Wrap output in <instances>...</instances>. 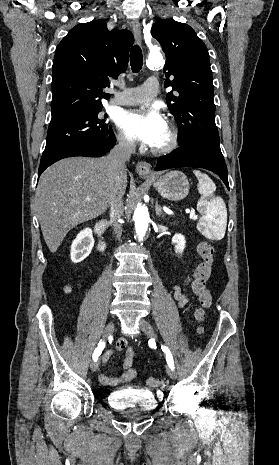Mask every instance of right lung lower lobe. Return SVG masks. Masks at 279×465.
<instances>
[{
  "label": "right lung lower lobe",
  "instance_id": "98d812e1",
  "mask_svg": "<svg viewBox=\"0 0 279 465\" xmlns=\"http://www.w3.org/2000/svg\"><path fill=\"white\" fill-rule=\"evenodd\" d=\"M116 139L113 135L109 139L102 140L99 142H92V141H81L76 144H73L49 159L40 163V167L38 170V176L51 164L55 163L56 161L73 156H86V157H101L105 153L109 152L110 149L115 145Z\"/></svg>",
  "mask_w": 279,
  "mask_h": 465
}]
</instances>
